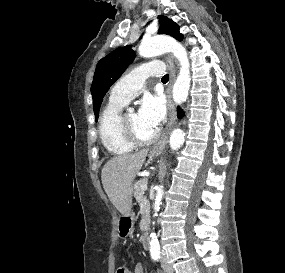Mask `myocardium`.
<instances>
[{"label":"myocardium","mask_w":285,"mask_h":273,"mask_svg":"<svg viewBox=\"0 0 285 273\" xmlns=\"http://www.w3.org/2000/svg\"><path fill=\"white\" fill-rule=\"evenodd\" d=\"M120 127L124 138L134 146H147L153 144L161 136V131L157 130L156 133L148 139L139 137L134 128L126 121L125 115L120 117Z\"/></svg>","instance_id":"1"}]
</instances>
